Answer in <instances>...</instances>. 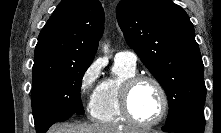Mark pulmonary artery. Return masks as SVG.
Wrapping results in <instances>:
<instances>
[{"label":"pulmonary artery","mask_w":221,"mask_h":133,"mask_svg":"<svg viewBox=\"0 0 221 133\" xmlns=\"http://www.w3.org/2000/svg\"><path fill=\"white\" fill-rule=\"evenodd\" d=\"M115 62L123 63L130 67H136L137 56L130 51H121L115 55Z\"/></svg>","instance_id":"1"}]
</instances>
